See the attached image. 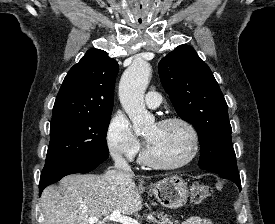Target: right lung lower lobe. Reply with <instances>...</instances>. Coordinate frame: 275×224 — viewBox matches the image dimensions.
<instances>
[{
	"label": "right lung lower lobe",
	"instance_id": "98d812e1",
	"mask_svg": "<svg viewBox=\"0 0 275 224\" xmlns=\"http://www.w3.org/2000/svg\"><path fill=\"white\" fill-rule=\"evenodd\" d=\"M107 158L108 154H99L87 160L70 162L49 169H43L40 178L39 193L41 194L46 186L59 181L66 175L92 171Z\"/></svg>",
	"mask_w": 275,
	"mask_h": 224
}]
</instances>
